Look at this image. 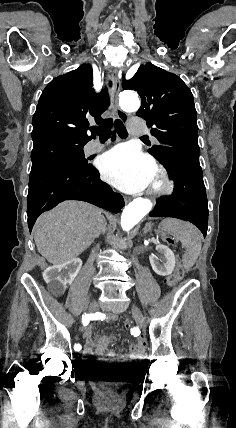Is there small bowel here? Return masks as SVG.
Returning a JSON list of instances; mask_svg holds the SVG:
<instances>
[{
  "mask_svg": "<svg viewBox=\"0 0 236 428\" xmlns=\"http://www.w3.org/2000/svg\"><path fill=\"white\" fill-rule=\"evenodd\" d=\"M103 319L106 321H117L118 317L115 314H105ZM82 333L85 338L84 354L87 356H91L95 351L99 356L106 355L114 363L135 365L139 363L145 351L146 343L143 338H140L129 345V353L119 355L114 350L107 351V347L112 341V337L99 335L95 340H93L91 336V327L82 328Z\"/></svg>",
  "mask_w": 236,
  "mask_h": 428,
  "instance_id": "small-bowel-1",
  "label": "small bowel"
}]
</instances>
